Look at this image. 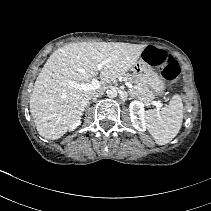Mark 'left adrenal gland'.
Returning <instances> with one entry per match:
<instances>
[{"mask_svg":"<svg viewBox=\"0 0 211 211\" xmlns=\"http://www.w3.org/2000/svg\"><path fill=\"white\" fill-rule=\"evenodd\" d=\"M128 94L131 96V98H135V96L131 92H128Z\"/></svg>","mask_w":211,"mask_h":211,"instance_id":"1","label":"left adrenal gland"}]
</instances>
